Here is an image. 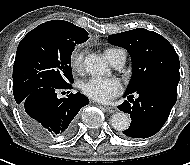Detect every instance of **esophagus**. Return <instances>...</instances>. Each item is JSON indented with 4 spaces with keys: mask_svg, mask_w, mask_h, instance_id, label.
Here are the masks:
<instances>
[{
    "mask_svg": "<svg viewBox=\"0 0 190 165\" xmlns=\"http://www.w3.org/2000/svg\"><path fill=\"white\" fill-rule=\"evenodd\" d=\"M107 112L109 113H115L117 111V108L112 106H102Z\"/></svg>",
    "mask_w": 190,
    "mask_h": 165,
    "instance_id": "esophagus-1",
    "label": "esophagus"
}]
</instances>
